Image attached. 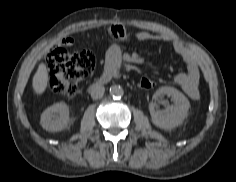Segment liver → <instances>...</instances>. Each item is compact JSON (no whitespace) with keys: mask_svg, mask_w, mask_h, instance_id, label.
Listing matches in <instances>:
<instances>
[{"mask_svg":"<svg viewBox=\"0 0 236 182\" xmlns=\"http://www.w3.org/2000/svg\"><path fill=\"white\" fill-rule=\"evenodd\" d=\"M48 84V71L45 63H40L32 80V87L37 95L45 92Z\"/></svg>","mask_w":236,"mask_h":182,"instance_id":"obj_1","label":"liver"}]
</instances>
